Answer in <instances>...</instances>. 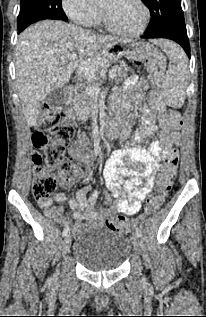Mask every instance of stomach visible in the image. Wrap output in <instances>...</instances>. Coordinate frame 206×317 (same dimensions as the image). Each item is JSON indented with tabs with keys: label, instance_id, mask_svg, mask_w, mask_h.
Segmentation results:
<instances>
[{
	"label": "stomach",
	"instance_id": "0dacf381",
	"mask_svg": "<svg viewBox=\"0 0 206 317\" xmlns=\"http://www.w3.org/2000/svg\"><path fill=\"white\" fill-rule=\"evenodd\" d=\"M124 56L128 59V66H143L144 61L149 59L152 55V47L144 42H129L126 44ZM81 65L83 67H77V74H89V76H83V83L98 82V77L94 74H98L101 71V66L111 65L110 55H93L92 59H82Z\"/></svg>",
	"mask_w": 206,
	"mask_h": 317
}]
</instances>
